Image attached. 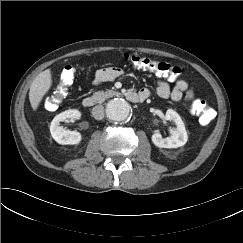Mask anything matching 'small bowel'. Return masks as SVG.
Returning a JSON list of instances; mask_svg holds the SVG:
<instances>
[{"label": "small bowel", "mask_w": 243, "mask_h": 243, "mask_svg": "<svg viewBox=\"0 0 243 243\" xmlns=\"http://www.w3.org/2000/svg\"><path fill=\"white\" fill-rule=\"evenodd\" d=\"M123 71L117 67H107L100 69L96 72L94 78V84L100 85L108 81L115 80L122 76ZM139 94L150 95V91L146 88L141 89ZM156 93L163 99L170 98L175 102L181 100L191 101L194 98V92L189 87L188 82L185 79L178 80L173 88H171L168 81L159 79L157 81Z\"/></svg>", "instance_id": "c3829d8e"}]
</instances>
